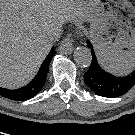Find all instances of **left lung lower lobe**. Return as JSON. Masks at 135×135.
<instances>
[{
	"mask_svg": "<svg viewBox=\"0 0 135 135\" xmlns=\"http://www.w3.org/2000/svg\"><path fill=\"white\" fill-rule=\"evenodd\" d=\"M87 45L92 52V62L84 74L85 83L92 91L103 97H119L135 85V71L125 77H115L105 72L97 62L93 45L88 40Z\"/></svg>",
	"mask_w": 135,
	"mask_h": 135,
	"instance_id": "obj_1",
	"label": "left lung lower lobe"
}]
</instances>
